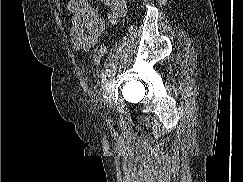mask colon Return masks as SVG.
Masks as SVG:
<instances>
[{
	"instance_id": "colon-1",
	"label": "colon",
	"mask_w": 243,
	"mask_h": 182,
	"mask_svg": "<svg viewBox=\"0 0 243 182\" xmlns=\"http://www.w3.org/2000/svg\"><path fill=\"white\" fill-rule=\"evenodd\" d=\"M105 54H106L105 45L104 44L97 45L93 50V55H92L93 63L96 65L99 64L103 59V57L105 56Z\"/></svg>"
}]
</instances>
